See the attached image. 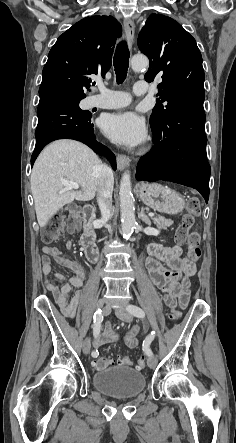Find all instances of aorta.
I'll use <instances>...</instances> for the list:
<instances>
[{"instance_id":"1","label":"aorta","mask_w":236,"mask_h":443,"mask_svg":"<svg viewBox=\"0 0 236 443\" xmlns=\"http://www.w3.org/2000/svg\"><path fill=\"white\" fill-rule=\"evenodd\" d=\"M149 61L147 57L142 55L133 56L131 59V66L135 71L141 70L147 67ZM120 215L122 223V234L124 237L128 238L133 232V227L135 225V206L134 198L131 188V176L129 171L122 175L120 181Z\"/></svg>"}]
</instances>
